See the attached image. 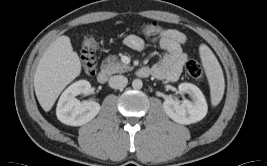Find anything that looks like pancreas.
<instances>
[{
	"mask_svg": "<svg viewBox=\"0 0 267 166\" xmlns=\"http://www.w3.org/2000/svg\"><path fill=\"white\" fill-rule=\"evenodd\" d=\"M102 69L105 71V73L111 75L115 73H124L126 71L132 70V67L123 64L121 61L118 60L116 56H108L102 64Z\"/></svg>",
	"mask_w": 267,
	"mask_h": 166,
	"instance_id": "cf45deb5",
	"label": "pancreas"
}]
</instances>
